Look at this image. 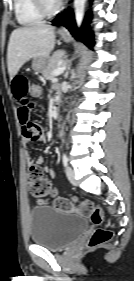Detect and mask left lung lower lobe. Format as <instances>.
Listing matches in <instances>:
<instances>
[{"instance_id": "1", "label": "left lung lower lobe", "mask_w": 134, "mask_h": 281, "mask_svg": "<svg viewBox=\"0 0 134 281\" xmlns=\"http://www.w3.org/2000/svg\"><path fill=\"white\" fill-rule=\"evenodd\" d=\"M53 24H58L65 26L69 29L72 35L79 38L82 42H84L87 46L93 47V33L89 30V15L87 16V20L84 22L81 29H78L75 24L74 15L71 10L63 13L61 16L55 18L52 21Z\"/></svg>"}]
</instances>
